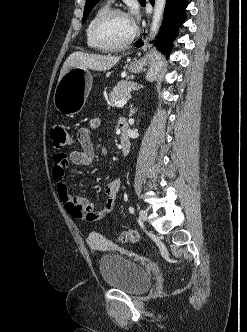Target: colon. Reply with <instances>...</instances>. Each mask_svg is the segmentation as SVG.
Masks as SVG:
<instances>
[{"label": "colon", "instance_id": "1", "mask_svg": "<svg viewBox=\"0 0 247 332\" xmlns=\"http://www.w3.org/2000/svg\"><path fill=\"white\" fill-rule=\"evenodd\" d=\"M51 139L55 149L62 150L71 144V136L62 123H55L51 127ZM139 239V233L136 230L130 229L120 234L119 241L123 243H134Z\"/></svg>", "mask_w": 247, "mask_h": 332}]
</instances>
